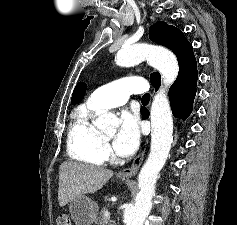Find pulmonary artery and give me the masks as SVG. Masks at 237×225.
<instances>
[{"label":"pulmonary artery","mask_w":237,"mask_h":225,"mask_svg":"<svg viewBox=\"0 0 237 225\" xmlns=\"http://www.w3.org/2000/svg\"><path fill=\"white\" fill-rule=\"evenodd\" d=\"M147 90L146 82L141 77H125L97 88L89 101L100 110L125 104L131 94L143 93Z\"/></svg>","instance_id":"e3ab8cb5"}]
</instances>
